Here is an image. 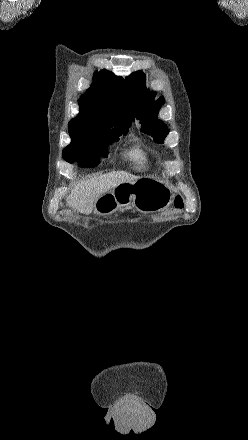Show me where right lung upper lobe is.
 Instances as JSON below:
<instances>
[{"instance_id":"right-lung-upper-lobe-1","label":"right lung upper lobe","mask_w":248,"mask_h":440,"mask_svg":"<svg viewBox=\"0 0 248 440\" xmlns=\"http://www.w3.org/2000/svg\"><path fill=\"white\" fill-rule=\"evenodd\" d=\"M78 117L70 121V149L88 136L107 135L129 130L132 112L125 82L112 72L101 70L94 74V83L81 96Z\"/></svg>"}]
</instances>
